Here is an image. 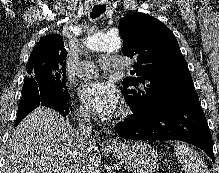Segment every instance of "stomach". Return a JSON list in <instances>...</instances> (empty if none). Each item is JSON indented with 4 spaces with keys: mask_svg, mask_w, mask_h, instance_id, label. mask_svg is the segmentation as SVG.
Segmentation results:
<instances>
[{
    "mask_svg": "<svg viewBox=\"0 0 219 173\" xmlns=\"http://www.w3.org/2000/svg\"><path fill=\"white\" fill-rule=\"evenodd\" d=\"M114 154L132 173H153L159 166L157 151L145 142L119 144L114 147Z\"/></svg>",
    "mask_w": 219,
    "mask_h": 173,
    "instance_id": "obj_1",
    "label": "stomach"
}]
</instances>
